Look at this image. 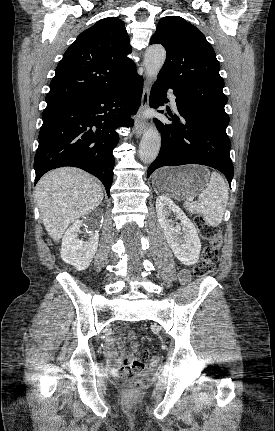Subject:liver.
I'll return each instance as SVG.
<instances>
[{"instance_id": "1", "label": "liver", "mask_w": 275, "mask_h": 431, "mask_svg": "<svg viewBox=\"0 0 275 431\" xmlns=\"http://www.w3.org/2000/svg\"><path fill=\"white\" fill-rule=\"evenodd\" d=\"M35 195L46 231L59 241L71 223L102 202L103 188L91 174L64 167L44 175L36 185Z\"/></svg>"}]
</instances>
